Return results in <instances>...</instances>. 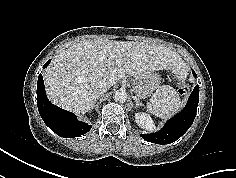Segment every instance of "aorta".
I'll list each match as a JSON object with an SVG mask.
<instances>
[{"label": "aorta", "mask_w": 236, "mask_h": 178, "mask_svg": "<svg viewBox=\"0 0 236 178\" xmlns=\"http://www.w3.org/2000/svg\"><path fill=\"white\" fill-rule=\"evenodd\" d=\"M113 97L116 102L123 103L127 100V93L125 90H117Z\"/></svg>", "instance_id": "1"}]
</instances>
